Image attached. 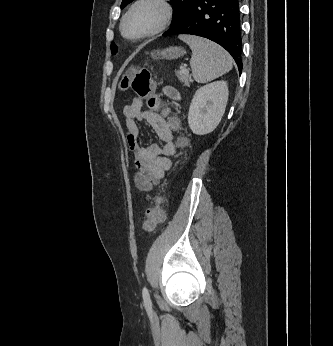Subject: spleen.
I'll return each mask as SVG.
<instances>
[{
  "label": "spleen",
  "instance_id": "spleen-1",
  "mask_svg": "<svg viewBox=\"0 0 333 346\" xmlns=\"http://www.w3.org/2000/svg\"><path fill=\"white\" fill-rule=\"evenodd\" d=\"M180 39L192 50L190 65L198 83L211 81L232 69V58L216 43L191 35L180 36Z\"/></svg>",
  "mask_w": 333,
  "mask_h": 346
}]
</instances>
